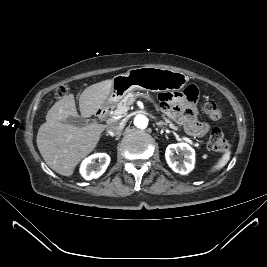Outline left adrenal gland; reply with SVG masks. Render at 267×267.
Instances as JSON below:
<instances>
[{"instance_id":"obj_1","label":"left adrenal gland","mask_w":267,"mask_h":267,"mask_svg":"<svg viewBox=\"0 0 267 267\" xmlns=\"http://www.w3.org/2000/svg\"><path fill=\"white\" fill-rule=\"evenodd\" d=\"M156 125H157L158 127H162V126L167 125V124L164 123L163 121H156Z\"/></svg>"}]
</instances>
